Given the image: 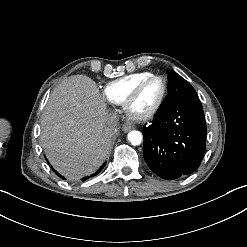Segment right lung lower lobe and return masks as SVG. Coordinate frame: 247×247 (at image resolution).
I'll use <instances>...</instances> for the list:
<instances>
[{
  "label": "right lung lower lobe",
  "instance_id": "right-lung-lower-lobe-1",
  "mask_svg": "<svg viewBox=\"0 0 247 247\" xmlns=\"http://www.w3.org/2000/svg\"><path fill=\"white\" fill-rule=\"evenodd\" d=\"M46 160H47V159H46ZM48 163H49V162H48ZM105 164H106V162L100 167V169H99L96 173L92 174L90 177H93V176L97 175L98 173H100V171L104 168ZM51 168H52V167H51ZM52 170L55 172V174H56L57 176L61 177L62 179H65L62 175H60V174H59L57 171H55L53 168H52ZM88 178H89V176L84 177V178L82 179V181H85V180H87Z\"/></svg>",
  "mask_w": 247,
  "mask_h": 247
}]
</instances>
